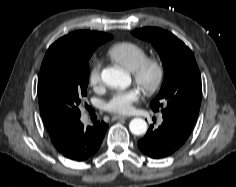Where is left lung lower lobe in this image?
<instances>
[{"label":"left lung lower lobe","instance_id":"obj_1","mask_svg":"<svg viewBox=\"0 0 236 187\" xmlns=\"http://www.w3.org/2000/svg\"><path fill=\"white\" fill-rule=\"evenodd\" d=\"M158 129L151 125L138 141L139 149L150 158L160 159L173 154L189 137L192 127L171 116H163Z\"/></svg>","mask_w":236,"mask_h":187}]
</instances>
